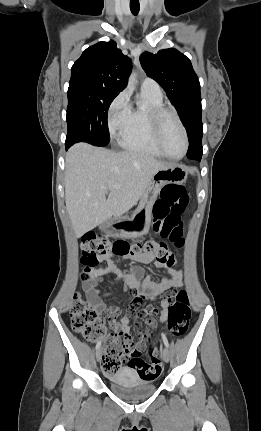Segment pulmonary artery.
<instances>
[{
    "label": "pulmonary artery",
    "instance_id": "pulmonary-artery-1",
    "mask_svg": "<svg viewBox=\"0 0 261 431\" xmlns=\"http://www.w3.org/2000/svg\"><path fill=\"white\" fill-rule=\"evenodd\" d=\"M142 90L151 92L155 95H161L159 84L152 78H145L142 82Z\"/></svg>",
    "mask_w": 261,
    "mask_h": 431
}]
</instances>
